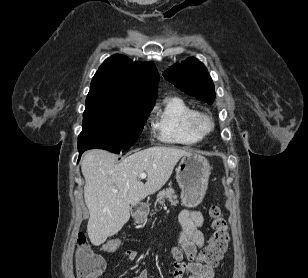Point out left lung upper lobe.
<instances>
[{"instance_id": "obj_1", "label": "left lung upper lobe", "mask_w": 308, "mask_h": 278, "mask_svg": "<svg viewBox=\"0 0 308 278\" xmlns=\"http://www.w3.org/2000/svg\"><path fill=\"white\" fill-rule=\"evenodd\" d=\"M164 77L181 91L207 103L215 98L214 84L206 67L194 58L172 66L164 72Z\"/></svg>"}]
</instances>
